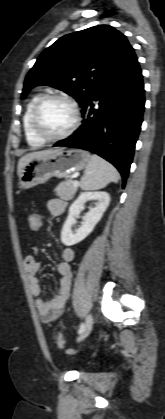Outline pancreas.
<instances>
[{
	"label": "pancreas",
	"mask_w": 165,
	"mask_h": 419,
	"mask_svg": "<svg viewBox=\"0 0 165 419\" xmlns=\"http://www.w3.org/2000/svg\"><path fill=\"white\" fill-rule=\"evenodd\" d=\"M77 189L78 186L73 185V180L68 179L61 182L54 191L60 198L64 200H71L77 192Z\"/></svg>",
	"instance_id": "cf45deb5"
}]
</instances>
